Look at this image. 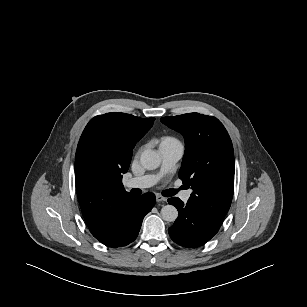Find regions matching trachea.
I'll use <instances>...</instances> for the list:
<instances>
[{"label": "trachea", "instance_id": "3493384b", "mask_svg": "<svg viewBox=\"0 0 307 307\" xmlns=\"http://www.w3.org/2000/svg\"><path fill=\"white\" fill-rule=\"evenodd\" d=\"M177 192H178L177 189H168V190L163 191L162 195L165 197H170V196L175 195Z\"/></svg>", "mask_w": 307, "mask_h": 307}]
</instances>
